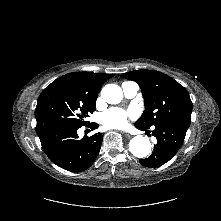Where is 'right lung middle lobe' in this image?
I'll use <instances>...</instances> for the list:
<instances>
[{
  "label": "right lung middle lobe",
  "instance_id": "right-lung-middle-lobe-1",
  "mask_svg": "<svg viewBox=\"0 0 221 221\" xmlns=\"http://www.w3.org/2000/svg\"><path fill=\"white\" fill-rule=\"evenodd\" d=\"M88 97L68 81L55 80L40 94L35 109L38 136L61 127H81L95 109Z\"/></svg>",
  "mask_w": 221,
  "mask_h": 221
}]
</instances>
